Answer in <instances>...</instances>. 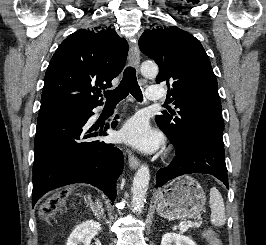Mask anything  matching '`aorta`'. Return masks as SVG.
Returning <instances> with one entry per match:
<instances>
[{"label": "aorta", "mask_w": 266, "mask_h": 245, "mask_svg": "<svg viewBox=\"0 0 266 245\" xmlns=\"http://www.w3.org/2000/svg\"><path fill=\"white\" fill-rule=\"evenodd\" d=\"M142 74H151V76H156L158 74L157 64L153 66H142ZM150 181V171L147 165H142L138 169L135 177H133L132 183V207L134 213H142V209L145 205L146 195L148 191V185Z\"/></svg>", "instance_id": "1"}]
</instances>
